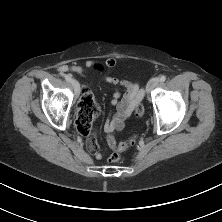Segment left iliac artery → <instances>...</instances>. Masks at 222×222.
Here are the masks:
<instances>
[{"mask_svg":"<svg viewBox=\"0 0 222 222\" xmlns=\"http://www.w3.org/2000/svg\"><path fill=\"white\" fill-rule=\"evenodd\" d=\"M165 80H166V76L163 75L160 77V82H164Z\"/></svg>","mask_w":222,"mask_h":222,"instance_id":"44dca946","label":"left iliac artery"}]
</instances>
